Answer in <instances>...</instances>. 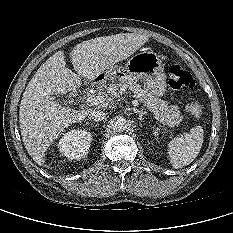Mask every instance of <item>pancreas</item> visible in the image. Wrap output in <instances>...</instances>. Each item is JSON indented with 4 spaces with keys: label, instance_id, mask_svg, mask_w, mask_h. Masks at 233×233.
<instances>
[{
    "label": "pancreas",
    "instance_id": "pancreas-1",
    "mask_svg": "<svg viewBox=\"0 0 233 233\" xmlns=\"http://www.w3.org/2000/svg\"><path fill=\"white\" fill-rule=\"evenodd\" d=\"M125 89H130L134 98L138 99L147 107L156 117L160 118L161 122L169 127L178 126L183 120V116L177 105H169L166 101L152 94L147 89H142L140 85L133 82L127 83H112L109 85L110 92H120Z\"/></svg>",
    "mask_w": 233,
    "mask_h": 233
}]
</instances>
